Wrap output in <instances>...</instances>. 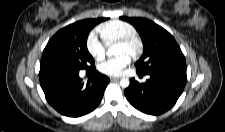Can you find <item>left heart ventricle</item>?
<instances>
[{"label":"left heart ventricle","mask_w":225,"mask_h":132,"mask_svg":"<svg viewBox=\"0 0 225 132\" xmlns=\"http://www.w3.org/2000/svg\"><path fill=\"white\" fill-rule=\"evenodd\" d=\"M131 53H132V47H128V46H124V45H120V44H117L115 46V54L116 55H121V54L131 55Z\"/></svg>","instance_id":"left-heart-ventricle-1"}]
</instances>
